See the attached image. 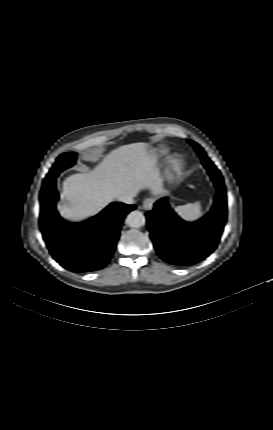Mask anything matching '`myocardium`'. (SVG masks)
<instances>
[{"instance_id":"obj_1","label":"myocardium","mask_w":273,"mask_h":430,"mask_svg":"<svg viewBox=\"0 0 273 430\" xmlns=\"http://www.w3.org/2000/svg\"><path fill=\"white\" fill-rule=\"evenodd\" d=\"M182 167H183V163H182V161L180 160V159H178V158H176V159H173L172 161H171V168L175 171V172H180L181 171V169H182Z\"/></svg>"}]
</instances>
